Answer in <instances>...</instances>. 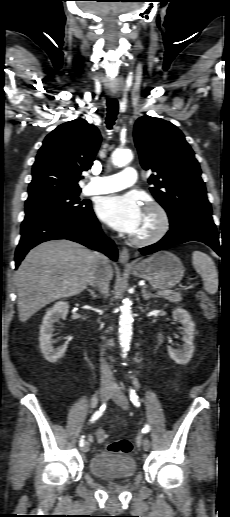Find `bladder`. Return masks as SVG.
<instances>
[{
	"instance_id": "bladder-1",
	"label": "bladder",
	"mask_w": 230,
	"mask_h": 517,
	"mask_svg": "<svg viewBox=\"0 0 230 517\" xmlns=\"http://www.w3.org/2000/svg\"><path fill=\"white\" fill-rule=\"evenodd\" d=\"M89 471L102 479H126L135 475L136 463L134 458L126 453L101 452L90 460Z\"/></svg>"
}]
</instances>
